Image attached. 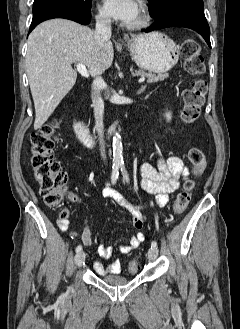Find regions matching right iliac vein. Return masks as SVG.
<instances>
[{
  "label": "right iliac vein",
  "mask_w": 240,
  "mask_h": 329,
  "mask_svg": "<svg viewBox=\"0 0 240 329\" xmlns=\"http://www.w3.org/2000/svg\"><path fill=\"white\" fill-rule=\"evenodd\" d=\"M86 254L83 251H80L75 257V264L76 266H81L85 261Z\"/></svg>",
  "instance_id": "obj_1"
}]
</instances>
